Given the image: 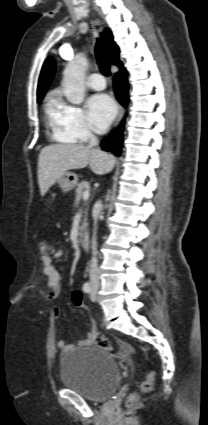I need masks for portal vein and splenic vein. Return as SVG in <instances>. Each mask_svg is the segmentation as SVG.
<instances>
[{
	"label": "portal vein and splenic vein",
	"instance_id": "18ae733b",
	"mask_svg": "<svg viewBox=\"0 0 208 425\" xmlns=\"http://www.w3.org/2000/svg\"><path fill=\"white\" fill-rule=\"evenodd\" d=\"M89 196H90L89 191H85L84 194H83L84 200H87L89 198Z\"/></svg>",
	"mask_w": 208,
	"mask_h": 425
}]
</instances>
